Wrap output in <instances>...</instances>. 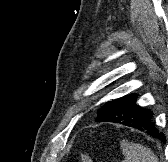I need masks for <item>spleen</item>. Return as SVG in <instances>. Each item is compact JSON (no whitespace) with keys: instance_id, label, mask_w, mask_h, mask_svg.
Segmentation results:
<instances>
[{"instance_id":"spleen-1","label":"spleen","mask_w":168,"mask_h":162,"mask_svg":"<svg viewBox=\"0 0 168 162\" xmlns=\"http://www.w3.org/2000/svg\"><path fill=\"white\" fill-rule=\"evenodd\" d=\"M120 147L124 155L122 162H158L157 156L150 148L141 144L121 141Z\"/></svg>"}]
</instances>
